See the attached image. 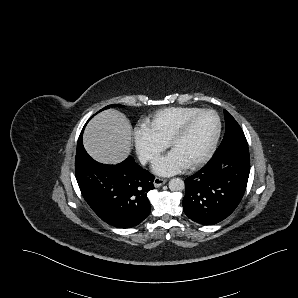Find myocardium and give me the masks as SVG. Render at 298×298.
<instances>
[{"label":"myocardium","instance_id":"obj_1","mask_svg":"<svg viewBox=\"0 0 298 298\" xmlns=\"http://www.w3.org/2000/svg\"><path fill=\"white\" fill-rule=\"evenodd\" d=\"M211 115L215 121V132L213 135V138L211 139L210 143L208 144L206 150L204 151V153L198 157L197 159H195L191 164H189L187 167L188 168H194L202 163H204L212 154V151L219 139L220 136V122L218 117L210 110H200L192 115H190L189 117L185 118L184 120H182L181 122H179L173 129L172 131L169 133V135L166 138V142H167V147L170 150L173 143L181 136V134L184 132V130L198 117L202 116V115Z\"/></svg>","mask_w":298,"mask_h":298}]
</instances>
